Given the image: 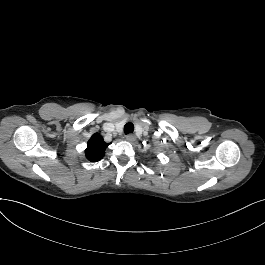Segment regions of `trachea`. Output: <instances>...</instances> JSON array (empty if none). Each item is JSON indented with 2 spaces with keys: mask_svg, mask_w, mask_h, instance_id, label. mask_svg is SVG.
<instances>
[{
  "mask_svg": "<svg viewBox=\"0 0 265 265\" xmlns=\"http://www.w3.org/2000/svg\"><path fill=\"white\" fill-rule=\"evenodd\" d=\"M134 131V125L131 122H128L124 126V133L130 134Z\"/></svg>",
  "mask_w": 265,
  "mask_h": 265,
  "instance_id": "obj_1",
  "label": "trachea"
}]
</instances>
